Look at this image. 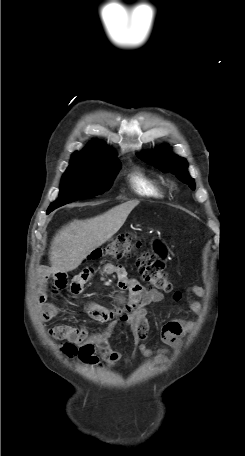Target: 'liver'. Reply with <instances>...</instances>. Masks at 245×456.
Masks as SVG:
<instances>
[{"label":"liver","instance_id":"liver-1","mask_svg":"<svg viewBox=\"0 0 245 456\" xmlns=\"http://www.w3.org/2000/svg\"><path fill=\"white\" fill-rule=\"evenodd\" d=\"M138 204L137 200L127 201L100 216L81 222L74 221L63 227L51 243L49 272L76 269L93 250L119 231Z\"/></svg>","mask_w":245,"mask_h":456}]
</instances>
